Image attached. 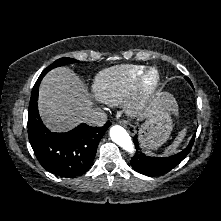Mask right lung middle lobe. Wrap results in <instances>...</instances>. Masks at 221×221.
<instances>
[{"mask_svg":"<svg viewBox=\"0 0 221 221\" xmlns=\"http://www.w3.org/2000/svg\"><path fill=\"white\" fill-rule=\"evenodd\" d=\"M76 61H77V60L72 59V58H60V59L56 60L54 63H52L50 66H48V67L41 73V75L39 76V78L42 79L43 76H44L48 71H50V70L53 69V68L59 67V66H61V65H66V64L74 63V62H76Z\"/></svg>","mask_w":221,"mask_h":221,"instance_id":"obj_1","label":"right lung middle lobe"}]
</instances>
